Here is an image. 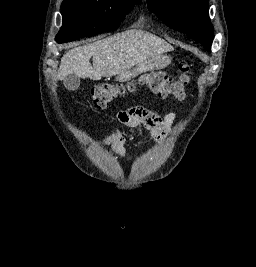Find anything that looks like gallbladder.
<instances>
[{
  "label": "gallbladder",
  "instance_id": "1",
  "mask_svg": "<svg viewBox=\"0 0 256 267\" xmlns=\"http://www.w3.org/2000/svg\"><path fill=\"white\" fill-rule=\"evenodd\" d=\"M63 84L66 88V90H78L80 86V78L78 76H75V74H69V76H66L63 80Z\"/></svg>",
  "mask_w": 256,
  "mask_h": 267
}]
</instances>
